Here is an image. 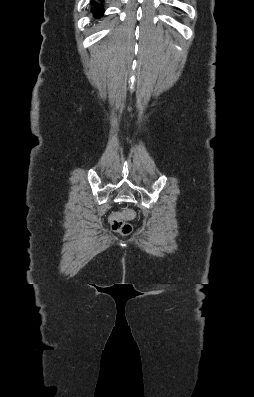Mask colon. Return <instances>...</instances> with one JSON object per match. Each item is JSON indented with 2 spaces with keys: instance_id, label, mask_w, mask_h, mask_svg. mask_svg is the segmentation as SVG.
Listing matches in <instances>:
<instances>
[{
  "instance_id": "colon-1",
  "label": "colon",
  "mask_w": 254,
  "mask_h": 397,
  "mask_svg": "<svg viewBox=\"0 0 254 397\" xmlns=\"http://www.w3.org/2000/svg\"><path fill=\"white\" fill-rule=\"evenodd\" d=\"M135 217V212L132 209H123L114 213L110 218L111 228L121 234L129 235L132 232V225L129 223Z\"/></svg>"
}]
</instances>
